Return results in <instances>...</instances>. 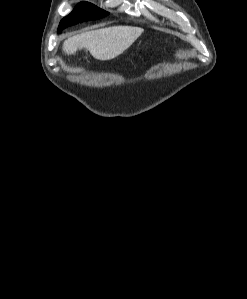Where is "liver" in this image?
<instances>
[{
    "label": "liver",
    "instance_id": "1",
    "mask_svg": "<svg viewBox=\"0 0 247 299\" xmlns=\"http://www.w3.org/2000/svg\"><path fill=\"white\" fill-rule=\"evenodd\" d=\"M144 32L132 26H113L86 31L64 41L65 54H75L81 48L87 49L98 60L114 59L127 50Z\"/></svg>",
    "mask_w": 247,
    "mask_h": 299
}]
</instances>
